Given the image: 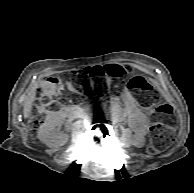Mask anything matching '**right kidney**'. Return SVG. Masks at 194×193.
I'll return each instance as SVG.
<instances>
[{
  "label": "right kidney",
  "mask_w": 194,
  "mask_h": 193,
  "mask_svg": "<svg viewBox=\"0 0 194 193\" xmlns=\"http://www.w3.org/2000/svg\"><path fill=\"white\" fill-rule=\"evenodd\" d=\"M62 123L61 117L51 113L38 130V138L50 148L60 147L67 143L66 133H56V127Z\"/></svg>",
  "instance_id": "1"
}]
</instances>
